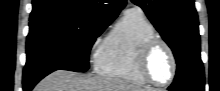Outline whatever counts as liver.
Returning a JSON list of instances; mask_svg holds the SVG:
<instances>
[{"instance_id":"obj_1","label":"liver","mask_w":220,"mask_h":91,"mask_svg":"<svg viewBox=\"0 0 220 91\" xmlns=\"http://www.w3.org/2000/svg\"><path fill=\"white\" fill-rule=\"evenodd\" d=\"M34 91H143L121 80L98 76H80L58 70L42 79Z\"/></svg>"}]
</instances>
